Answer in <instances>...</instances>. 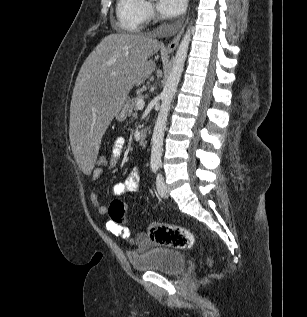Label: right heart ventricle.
Returning <instances> with one entry per match:
<instances>
[{
	"mask_svg": "<svg viewBox=\"0 0 307 317\" xmlns=\"http://www.w3.org/2000/svg\"><path fill=\"white\" fill-rule=\"evenodd\" d=\"M143 0H117L116 15L119 26L128 32H138L144 24Z\"/></svg>",
	"mask_w": 307,
	"mask_h": 317,
	"instance_id": "right-heart-ventricle-1",
	"label": "right heart ventricle"
}]
</instances>
